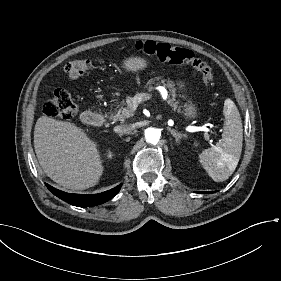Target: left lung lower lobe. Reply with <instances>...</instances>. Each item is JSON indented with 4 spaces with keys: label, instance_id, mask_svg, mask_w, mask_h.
Listing matches in <instances>:
<instances>
[{
    "label": "left lung lower lobe",
    "instance_id": "left-lung-lower-lobe-1",
    "mask_svg": "<svg viewBox=\"0 0 281 281\" xmlns=\"http://www.w3.org/2000/svg\"><path fill=\"white\" fill-rule=\"evenodd\" d=\"M198 193H202V194H210V193H213V192H198Z\"/></svg>",
    "mask_w": 281,
    "mask_h": 281
}]
</instances>
